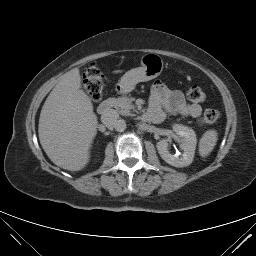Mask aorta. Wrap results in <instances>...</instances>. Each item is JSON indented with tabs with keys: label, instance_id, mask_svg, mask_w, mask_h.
Listing matches in <instances>:
<instances>
[{
	"label": "aorta",
	"instance_id": "obj_1",
	"mask_svg": "<svg viewBox=\"0 0 256 256\" xmlns=\"http://www.w3.org/2000/svg\"><path fill=\"white\" fill-rule=\"evenodd\" d=\"M126 126H127V124H126L125 120L121 119L117 122L115 129L117 131H124L126 129Z\"/></svg>",
	"mask_w": 256,
	"mask_h": 256
}]
</instances>
